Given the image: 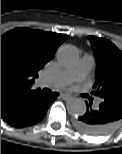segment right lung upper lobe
I'll use <instances>...</instances> for the list:
<instances>
[{
	"label": "right lung upper lobe",
	"mask_w": 122,
	"mask_h": 154,
	"mask_svg": "<svg viewBox=\"0 0 122 154\" xmlns=\"http://www.w3.org/2000/svg\"><path fill=\"white\" fill-rule=\"evenodd\" d=\"M65 34L15 28L1 36V112L23 95L38 71L52 59Z\"/></svg>",
	"instance_id": "cb5924a9"
}]
</instances>
